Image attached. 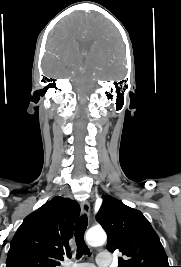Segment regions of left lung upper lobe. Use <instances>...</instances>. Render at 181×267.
<instances>
[{"instance_id": "5c2ea615", "label": "left lung upper lobe", "mask_w": 181, "mask_h": 267, "mask_svg": "<svg viewBox=\"0 0 181 267\" xmlns=\"http://www.w3.org/2000/svg\"><path fill=\"white\" fill-rule=\"evenodd\" d=\"M97 221L107 232L108 251L124 255L118 267H170L158 235L140 211L103 196Z\"/></svg>"}]
</instances>
